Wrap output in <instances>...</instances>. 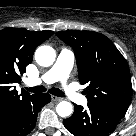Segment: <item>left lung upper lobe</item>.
Returning <instances> with one entry per match:
<instances>
[{
	"instance_id": "5c2ea615",
	"label": "left lung upper lobe",
	"mask_w": 136,
	"mask_h": 136,
	"mask_svg": "<svg viewBox=\"0 0 136 136\" xmlns=\"http://www.w3.org/2000/svg\"><path fill=\"white\" fill-rule=\"evenodd\" d=\"M57 36L75 52L88 103L126 112L132 95L130 72L111 40L94 31H59Z\"/></svg>"
}]
</instances>
